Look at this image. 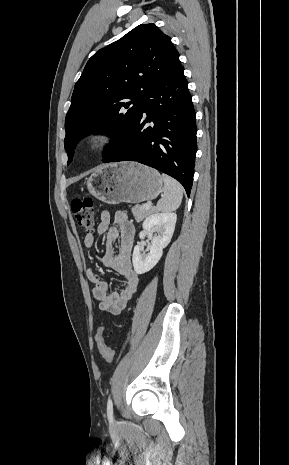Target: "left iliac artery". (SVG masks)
<instances>
[{
	"instance_id": "1",
	"label": "left iliac artery",
	"mask_w": 289,
	"mask_h": 465,
	"mask_svg": "<svg viewBox=\"0 0 289 465\" xmlns=\"http://www.w3.org/2000/svg\"><path fill=\"white\" fill-rule=\"evenodd\" d=\"M107 416L110 422H113V404L111 398H109L107 403Z\"/></svg>"
}]
</instances>
